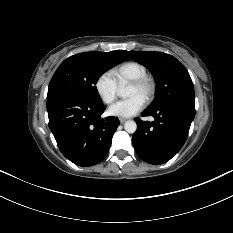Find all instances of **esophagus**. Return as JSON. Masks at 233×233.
I'll list each match as a JSON object with an SVG mask.
<instances>
[{"instance_id": "1", "label": "esophagus", "mask_w": 233, "mask_h": 233, "mask_svg": "<svg viewBox=\"0 0 233 233\" xmlns=\"http://www.w3.org/2000/svg\"><path fill=\"white\" fill-rule=\"evenodd\" d=\"M126 120H127V119H125V118H119V122H120L121 124L125 123Z\"/></svg>"}]
</instances>
